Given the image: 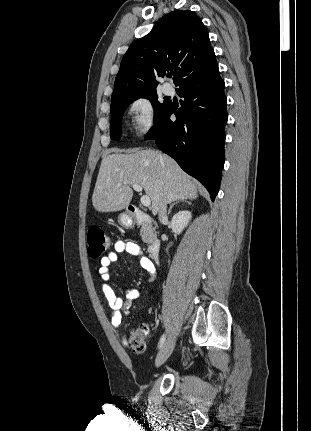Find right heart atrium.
<instances>
[{"instance_id": "d8ad5b80", "label": "right heart atrium", "mask_w": 311, "mask_h": 431, "mask_svg": "<svg viewBox=\"0 0 311 431\" xmlns=\"http://www.w3.org/2000/svg\"><path fill=\"white\" fill-rule=\"evenodd\" d=\"M130 123L138 137L149 134L156 126L157 113L153 99L148 94L134 96L126 108Z\"/></svg>"}]
</instances>
